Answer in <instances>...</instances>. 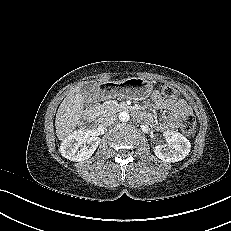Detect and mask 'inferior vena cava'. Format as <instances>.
Masks as SVG:
<instances>
[{"label": "inferior vena cava", "instance_id": "obj_1", "mask_svg": "<svg viewBox=\"0 0 231 231\" xmlns=\"http://www.w3.org/2000/svg\"><path fill=\"white\" fill-rule=\"evenodd\" d=\"M117 119V116L114 114H106L101 118V122L105 126H109L114 123V121Z\"/></svg>", "mask_w": 231, "mask_h": 231}]
</instances>
